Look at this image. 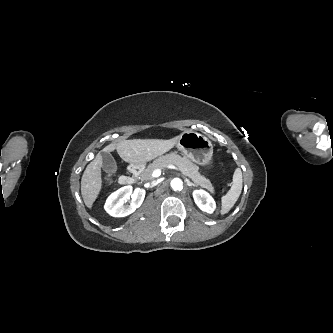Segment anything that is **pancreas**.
I'll list each match as a JSON object with an SVG mask.
<instances>
[{"instance_id":"1","label":"pancreas","mask_w":333,"mask_h":333,"mask_svg":"<svg viewBox=\"0 0 333 333\" xmlns=\"http://www.w3.org/2000/svg\"><path fill=\"white\" fill-rule=\"evenodd\" d=\"M168 165H174L178 167L181 172L192 179L196 184L214 192V187L211 181L205 176L201 175L198 171V167L187 157H181L176 153L166 154L155 159L141 174L140 178L142 181H151L153 179L152 172L156 169H164Z\"/></svg>"}]
</instances>
